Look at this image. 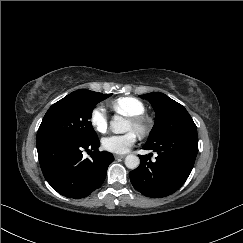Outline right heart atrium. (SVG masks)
<instances>
[{"instance_id": "obj_1", "label": "right heart atrium", "mask_w": 243, "mask_h": 243, "mask_svg": "<svg viewBox=\"0 0 243 243\" xmlns=\"http://www.w3.org/2000/svg\"><path fill=\"white\" fill-rule=\"evenodd\" d=\"M89 121L92 127L98 132H105L108 128V116L102 106H95L89 116Z\"/></svg>"}]
</instances>
